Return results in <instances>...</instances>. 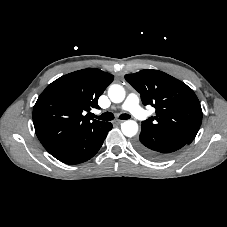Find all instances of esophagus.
<instances>
[{
    "instance_id": "34e87169",
    "label": "esophagus",
    "mask_w": 227,
    "mask_h": 227,
    "mask_svg": "<svg viewBox=\"0 0 227 227\" xmlns=\"http://www.w3.org/2000/svg\"><path fill=\"white\" fill-rule=\"evenodd\" d=\"M114 123L115 124H121V123H123V120H115Z\"/></svg>"
}]
</instances>
